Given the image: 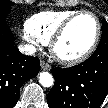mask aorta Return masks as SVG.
Wrapping results in <instances>:
<instances>
[{"mask_svg": "<svg viewBox=\"0 0 108 108\" xmlns=\"http://www.w3.org/2000/svg\"><path fill=\"white\" fill-rule=\"evenodd\" d=\"M39 82L43 87H51L54 84V78L48 72H41L39 75Z\"/></svg>", "mask_w": 108, "mask_h": 108, "instance_id": "aorta-1", "label": "aorta"}]
</instances>
